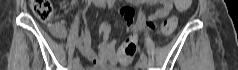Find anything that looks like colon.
I'll return each instance as SVG.
<instances>
[{"label":"colon","instance_id":"obj_1","mask_svg":"<svg viewBox=\"0 0 238 70\" xmlns=\"http://www.w3.org/2000/svg\"><path fill=\"white\" fill-rule=\"evenodd\" d=\"M190 4L191 0H174V6L178 7V12H188ZM29 6L33 14L41 20H48L53 14V6L50 0H30ZM147 23L153 31L159 29L161 34L168 35L175 29L177 21L175 18H170L163 24L162 21H155L154 25V20L148 19ZM54 32H58V29H55ZM124 40L125 42H119L115 58L120 59L119 62L126 65L130 63L136 52V33H129V36H125Z\"/></svg>","mask_w":238,"mask_h":70}]
</instances>
